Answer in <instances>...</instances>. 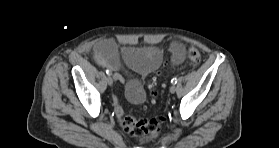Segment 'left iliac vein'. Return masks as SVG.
<instances>
[{
  "label": "left iliac vein",
  "instance_id": "obj_1",
  "mask_svg": "<svg viewBox=\"0 0 279 148\" xmlns=\"http://www.w3.org/2000/svg\"><path fill=\"white\" fill-rule=\"evenodd\" d=\"M169 91L173 94L176 91V86L175 85H171L169 88Z\"/></svg>",
  "mask_w": 279,
  "mask_h": 148
}]
</instances>
